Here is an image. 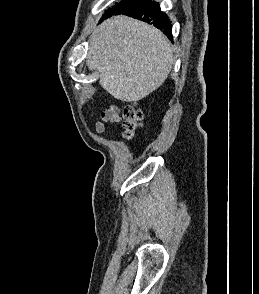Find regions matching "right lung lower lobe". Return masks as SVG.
<instances>
[{
    "label": "right lung lower lobe",
    "instance_id": "98d812e1",
    "mask_svg": "<svg viewBox=\"0 0 259 294\" xmlns=\"http://www.w3.org/2000/svg\"><path fill=\"white\" fill-rule=\"evenodd\" d=\"M121 14L153 24L172 40L171 22L168 16L160 10L157 2L141 0L135 6Z\"/></svg>",
    "mask_w": 259,
    "mask_h": 294
}]
</instances>
